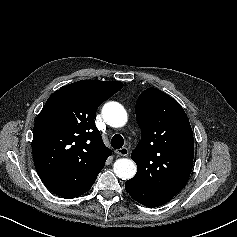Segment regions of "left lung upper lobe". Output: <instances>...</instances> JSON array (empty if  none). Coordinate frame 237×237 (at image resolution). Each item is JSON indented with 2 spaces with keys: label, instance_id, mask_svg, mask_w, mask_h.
<instances>
[{
  "label": "left lung upper lobe",
  "instance_id": "5c2ea615",
  "mask_svg": "<svg viewBox=\"0 0 237 237\" xmlns=\"http://www.w3.org/2000/svg\"><path fill=\"white\" fill-rule=\"evenodd\" d=\"M136 118L142 134L131 154L137 173L129 180V194L154 208L170 201L186 185L193 166V132L182 106L157 88L140 94Z\"/></svg>",
  "mask_w": 237,
  "mask_h": 237
}]
</instances>
